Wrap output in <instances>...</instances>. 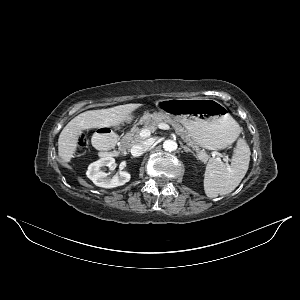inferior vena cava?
Returning <instances> with one entry per match:
<instances>
[{"label":"inferior vena cava","instance_id":"602c4592","mask_svg":"<svg viewBox=\"0 0 300 300\" xmlns=\"http://www.w3.org/2000/svg\"><path fill=\"white\" fill-rule=\"evenodd\" d=\"M150 147V144L145 142L141 144H136L131 148V154L134 157H139L143 155Z\"/></svg>","mask_w":300,"mask_h":300}]
</instances>
